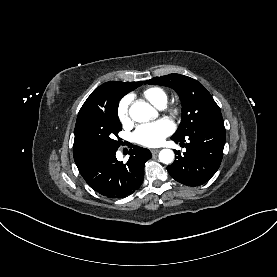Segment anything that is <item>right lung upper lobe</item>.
<instances>
[{"mask_svg": "<svg viewBox=\"0 0 277 277\" xmlns=\"http://www.w3.org/2000/svg\"><path fill=\"white\" fill-rule=\"evenodd\" d=\"M142 83L143 82L109 81L100 85L84 102L78 113L76 125L91 114L106 112L115 102L114 91L116 89L124 90L127 94L133 89L139 87ZM73 154L76 164L86 160V158L80 154L78 146L75 143L73 147Z\"/></svg>", "mask_w": 277, "mask_h": 277, "instance_id": "cb5924a9", "label": "right lung upper lobe"}]
</instances>
